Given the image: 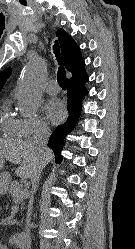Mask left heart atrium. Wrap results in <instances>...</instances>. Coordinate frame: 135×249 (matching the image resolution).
<instances>
[{
	"instance_id": "obj_1",
	"label": "left heart atrium",
	"mask_w": 135,
	"mask_h": 249,
	"mask_svg": "<svg viewBox=\"0 0 135 249\" xmlns=\"http://www.w3.org/2000/svg\"><path fill=\"white\" fill-rule=\"evenodd\" d=\"M44 111L52 123H58L64 115V106L58 99H51L45 104Z\"/></svg>"
}]
</instances>
